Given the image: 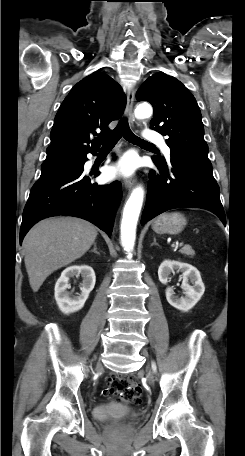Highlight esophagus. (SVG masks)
Segmentation results:
<instances>
[{"label": "esophagus", "mask_w": 245, "mask_h": 456, "mask_svg": "<svg viewBox=\"0 0 245 456\" xmlns=\"http://www.w3.org/2000/svg\"><path fill=\"white\" fill-rule=\"evenodd\" d=\"M134 97H135V90H134V88H131V89H129L128 94H127L126 116L128 118L130 125H132V126H133V122H134V114H133ZM124 184H125L126 188L131 189L136 184V178L135 177L126 178L124 180Z\"/></svg>", "instance_id": "1"}]
</instances>
